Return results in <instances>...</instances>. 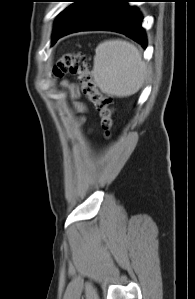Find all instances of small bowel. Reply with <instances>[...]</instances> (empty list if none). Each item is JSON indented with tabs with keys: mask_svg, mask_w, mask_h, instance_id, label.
Wrapping results in <instances>:
<instances>
[{
	"mask_svg": "<svg viewBox=\"0 0 195 299\" xmlns=\"http://www.w3.org/2000/svg\"><path fill=\"white\" fill-rule=\"evenodd\" d=\"M64 85H65V87H67L70 90L72 95L76 96L78 94V89L73 84L65 82ZM76 108L79 112H83L85 110L84 105H82L81 103H76Z\"/></svg>",
	"mask_w": 195,
	"mask_h": 299,
	"instance_id": "small-bowel-1",
	"label": "small bowel"
}]
</instances>
